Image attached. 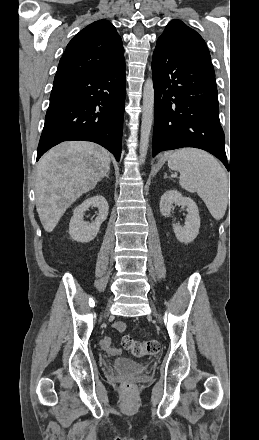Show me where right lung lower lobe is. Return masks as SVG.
Returning <instances> with one entry per match:
<instances>
[{
	"mask_svg": "<svg viewBox=\"0 0 259 440\" xmlns=\"http://www.w3.org/2000/svg\"><path fill=\"white\" fill-rule=\"evenodd\" d=\"M125 60L106 69L54 80L37 161L63 141L100 144L119 161L125 106Z\"/></svg>",
	"mask_w": 259,
	"mask_h": 440,
	"instance_id": "98d812e1",
	"label": "right lung lower lobe"
}]
</instances>
